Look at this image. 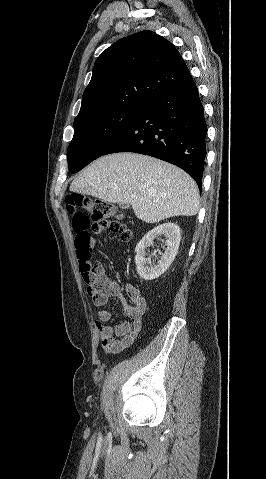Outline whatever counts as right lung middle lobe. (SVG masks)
I'll return each instance as SVG.
<instances>
[{"label": "right lung middle lobe", "instance_id": "dd1d6c3e", "mask_svg": "<svg viewBox=\"0 0 266 479\" xmlns=\"http://www.w3.org/2000/svg\"><path fill=\"white\" fill-rule=\"evenodd\" d=\"M142 110L143 108L113 109L74 120V136L67 150L70 172L76 173L102 156Z\"/></svg>", "mask_w": 266, "mask_h": 479}]
</instances>
